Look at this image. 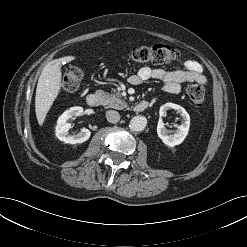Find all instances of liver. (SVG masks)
Wrapping results in <instances>:
<instances>
[{
	"label": "liver",
	"mask_w": 247,
	"mask_h": 247,
	"mask_svg": "<svg viewBox=\"0 0 247 247\" xmlns=\"http://www.w3.org/2000/svg\"><path fill=\"white\" fill-rule=\"evenodd\" d=\"M75 59L74 56H65L52 60L42 70L38 79L35 112L40 126L44 123L46 115L61 90V67Z\"/></svg>",
	"instance_id": "liver-1"
}]
</instances>
